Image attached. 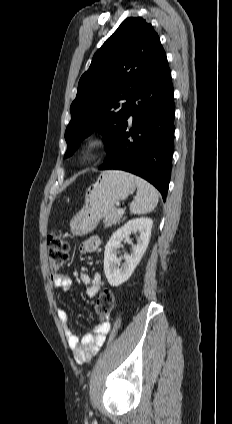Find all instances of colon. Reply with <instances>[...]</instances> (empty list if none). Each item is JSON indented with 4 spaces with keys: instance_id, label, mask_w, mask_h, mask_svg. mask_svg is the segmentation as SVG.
I'll return each mask as SVG.
<instances>
[{
    "instance_id": "1",
    "label": "colon",
    "mask_w": 232,
    "mask_h": 424,
    "mask_svg": "<svg viewBox=\"0 0 232 424\" xmlns=\"http://www.w3.org/2000/svg\"><path fill=\"white\" fill-rule=\"evenodd\" d=\"M67 235L60 229H54L47 238L49 266L53 271L59 270L68 257ZM115 304V295L110 289L103 290L96 300L94 312L98 317H106Z\"/></svg>"
}]
</instances>
